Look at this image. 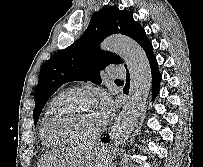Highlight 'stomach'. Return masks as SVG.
Segmentation results:
<instances>
[{
  "label": "stomach",
  "mask_w": 203,
  "mask_h": 167,
  "mask_svg": "<svg viewBox=\"0 0 203 167\" xmlns=\"http://www.w3.org/2000/svg\"><path fill=\"white\" fill-rule=\"evenodd\" d=\"M112 159L105 151L95 147L84 167H112Z\"/></svg>",
  "instance_id": "stomach-1"
}]
</instances>
